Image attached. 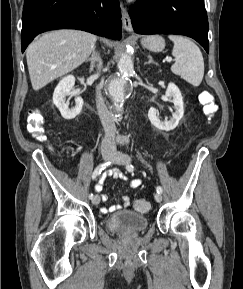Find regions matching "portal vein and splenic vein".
<instances>
[{
  "instance_id": "portal-vein-and-splenic-vein-1",
  "label": "portal vein and splenic vein",
  "mask_w": 243,
  "mask_h": 289,
  "mask_svg": "<svg viewBox=\"0 0 243 289\" xmlns=\"http://www.w3.org/2000/svg\"><path fill=\"white\" fill-rule=\"evenodd\" d=\"M167 61H168V62H171V61H172V59H171V58H168V59H167Z\"/></svg>"
}]
</instances>
